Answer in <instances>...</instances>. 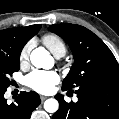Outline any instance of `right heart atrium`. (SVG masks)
<instances>
[{
	"label": "right heart atrium",
	"mask_w": 119,
	"mask_h": 119,
	"mask_svg": "<svg viewBox=\"0 0 119 119\" xmlns=\"http://www.w3.org/2000/svg\"><path fill=\"white\" fill-rule=\"evenodd\" d=\"M31 47H32V43L29 42L20 51L19 60L21 64H24L29 59Z\"/></svg>",
	"instance_id": "d8ad5b80"
}]
</instances>
